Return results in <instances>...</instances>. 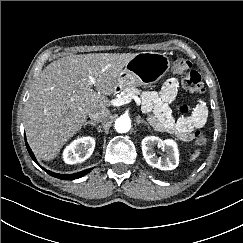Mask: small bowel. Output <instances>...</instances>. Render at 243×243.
<instances>
[{
  "label": "small bowel",
  "instance_id": "c3829d8e",
  "mask_svg": "<svg viewBox=\"0 0 243 243\" xmlns=\"http://www.w3.org/2000/svg\"><path fill=\"white\" fill-rule=\"evenodd\" d=\"M177 89L176 78L167 80L158 93L152 92L145 96V108L153 112L151 123L157 130L172 134L182 141H191L193 131L202 128L206 121L207 106L200 100L189 116L175 119L168 103L175 98Z\"/></svg>",
  "mask_w": 243,
  "mask_h": 243
}]
</instances>
